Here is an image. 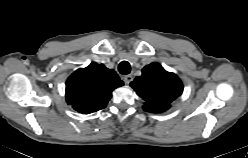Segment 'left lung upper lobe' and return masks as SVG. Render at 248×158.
I'll list each match as a JSON object with an SVG mask.
<instances>
[{
  "label": "left lung upper lobe",
  "mask_w": 248,
  "mask_h": 158,
  "mask_svg": "<svg viewBox=\"0 0 248 158\" xmlns=\"http://www.w3.org/2000/svg\"><path fill=\"white\" fill-rule=\"evenodd\" d=\"M130 85L145 101L143 109L155 113L166 111L183 91L180 79L158 63L145 66L142 75L136 77Z\"/></svg>",
  "instance_id": "5c2ea615"
}]
</instances>
